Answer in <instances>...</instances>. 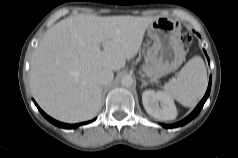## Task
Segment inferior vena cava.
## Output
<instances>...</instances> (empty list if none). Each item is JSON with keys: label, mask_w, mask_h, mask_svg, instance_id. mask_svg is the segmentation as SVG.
<instances>
[{"label": "inferior vena cava", "mask_w": 238, "mask_h": 158, "mask_svg": "<svg viewBox=\"0 0 238 158\" xmlns=\"http://www.w3.org/2000/svg\"><path fill=\"white\" fill-rule=\"evenodd\" d=\"M113 78V71L107 68L100 69L97 74V81L101 86L109 85Z\"/></svg>", "instance_id": "obj_1"}]
</instances>
